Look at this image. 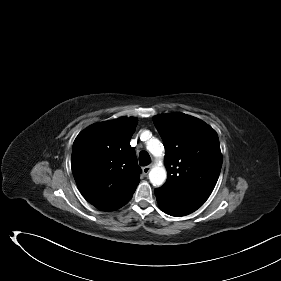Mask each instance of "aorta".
Masks as SVG:
<instances>
[{
    "instance_id": "aorta-1",
    "label": "aorta",
    "mask_w": 281,
    "mask_h": 281,
    "mask_svg": "<svg viewBox=\"0 0 281 281\" xmlns=\"http://www.w3.org/2000/svg\"><path fill=\"white\" fill-rule=\"evenodd\" d=\"M147 150L155 157L163 155L164 147L157 138H150L146 142ZM167 178V172L162 164L155 165L149 172V180L154 186H161Z\"/></svg>"
}]
</instances>
